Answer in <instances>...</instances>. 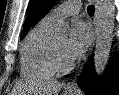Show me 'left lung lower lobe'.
Here are the masks:
<instances>
[{
	"label": "left lung lower lobe",
	"instance_id": "1",
	"mask_svg": "<svg viewBox=\"0 0 119 95\" xmlns=\"http://www.w3.org/2000/svg\"><path fill=\"white\" fill-rule=\"evenodd\" d=\"M86 95H117L119 90V55L108 66L103 79L94 71L90 58L77 82Z\"/></svg>",
	"mask_w": 119,
	"mask_h": 95
}]
</instances>
